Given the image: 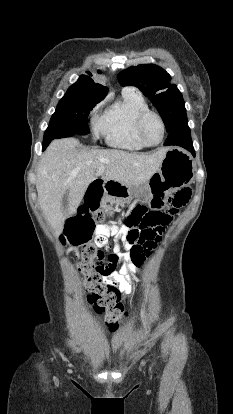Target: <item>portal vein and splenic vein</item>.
Listing matches in <instances>:
<instances>
[{
    "label": "portal vein and splenic vein",
    "instance_id": "1",
    "mask_svg": "<svg viewBox=\"0 0 233 414\" xmlns=\"http://www.w3.org/2000/svg\"><path fill=\"white\" fill-rule=\"evenodd\" d=\"M103 162L107 163V161H104V160H103ZM102 173H103V169H99L98 174H102Z\"/></svg>",
    "mask_w": 233,
    "mask_h": 414
}]
</instances>
